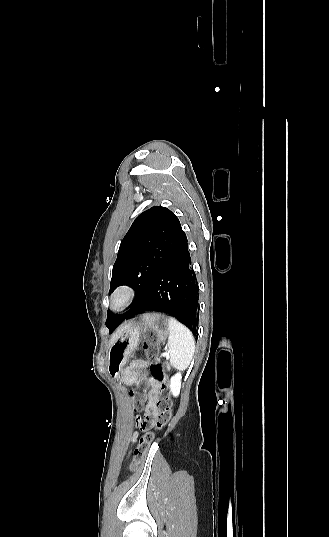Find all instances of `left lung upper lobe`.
I'll return each instance as SVG.
<instances>
[{
  "mask_svg": "<svg viewBox=\"0 0 329 537\" xmlns=\"http://www.w3.org/2000/svg\"><path fill=\"white\" fill-rule=\"evenodd\" d=\"M186 242L178 218L165 207L154 206L134 220L120 244L109 293L120 285H128L135 290L136 300L122 315L114 316L108 311L106 326L110 332L138 304L162 265Z\"/></svg>",
  "mask_w": 329,
  "mask_h": 537,
  "instance_id": "5c2ea615",
  "label": "left lung upper lobe"
}]
</instances>
